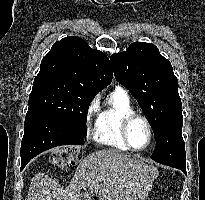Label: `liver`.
Returning a JSON list of instances; mask_svg holds the SVG:
<instances>
[{
	"label": "liver",
	"mask_w": 205,
	"mask_h": 200,
	"mask_svg": "<svg viewBox=\"0 0 205 200\" xmlns=\"http://www.w3.org/2000/svg\"><path fill=\"white\" fill-rule=\"evenodd\" d=\"M158 171L117 150H97L78 165L69 185L39 172L31 180L27 200H80L89 189L99 200H145Z\"/></svg>",
	"instance_id": "obj_1"
}]
</instances>
